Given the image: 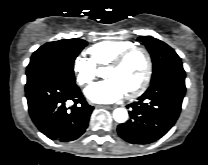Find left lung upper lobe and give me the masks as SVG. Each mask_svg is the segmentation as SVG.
<instances>
[{
	"instance_id": "obj_1",
	"label": "left lung upper lobe",
	"mask_w": 208,
	"mask_h": 165,
	"mask_svg": "<svg viewBox=\"0 0 208 165\" xmlns=\"http://www.w3.org/2000/svg\"><path fill=\"white\" fill-rule=\"evenodd\" d=\"M138 41L146 45L152 58L153 74L151 83L166 74L184 72L181 58L166 43L150 36H141Z\"/></svg>"
}]
</instances>
